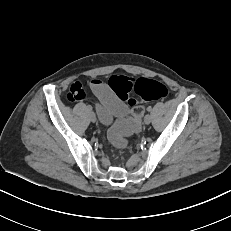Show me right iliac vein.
<instances>
[{
    "label": "right iliac vein",
    "mask_w": 231,
    "mask_h": 231,
    "mask_svg": "<svg viewBox=\"0 0 231 231\" xmlns=\"http://www.w3.org/2000/svg\"><path fill=\"white\" fill-rule=\"evenodd\" d=\"M90 120L92 122H96V116H95L94 112H90Z\"/></svg>",
    "instance_id": "right-iliac-vein-1"
}]
</instances>
